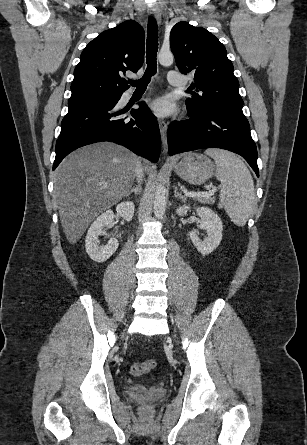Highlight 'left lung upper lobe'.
Returning <instances> with one entry per match:
<instances>
[{
  "label": "left lung upper lobe",
  "mask_w": 307,
  "mask_h": 445,
  "mask_svg": "<svg viewBox=\"0 0 307 445\" xmlns=\"http://www.w3.org/2000/svg\"><path fill=\"white\" fill-rule=\"evenodd\" d=\"M170 46L179 70L195 72L192 98L186 100L193 116L209 111H229L243 114V100L234 68L227 58L224 45L204 28L178 22L170 33Z\"/></svg>",
  "instance_id": "1"
}]
</instances>
